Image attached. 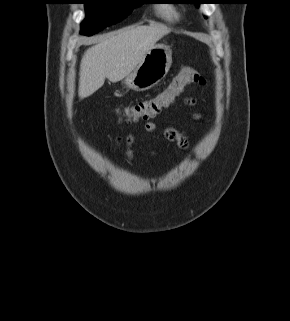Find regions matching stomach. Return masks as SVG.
I'll return each instance as SVG.
<instances>
[{"mask_svg":"<svg viewBox=\"0 0 290 321\" xmlns=\"http://www.w3.org/2000/svg\"><path fill=\"white\" fill-rule=\"evenodd\" d=\"M172 64V52L167 45L155 44L137 68L123 81L135 91H146L157 85L167 75Z\"/></svg>","mask_w":290,"mask_h":321,"instance_id":"obj_1","label":"stomach"}]
</instances>
